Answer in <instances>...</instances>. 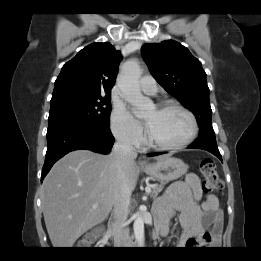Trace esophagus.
I'll list each match as a JSON object with an SVG mask.
<instances>
[{"label":"esophagus","instance_id":"1","mask_svg":"<svg viewBox=\"0 0 261 261\" xmlns=\"http://www.w3.org/2000/svg\"><path fill=\"white\" fill-rule=\"evenodd\" d=\"M139 164H140L141 167H144V166L147 165L146 162H145L144 160H141V161L139 162Z\"/></svg>","mask_w":261,"mask_h":261}]
</instances>
